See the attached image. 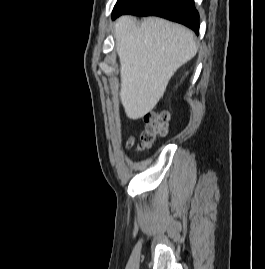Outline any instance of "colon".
<instances>
[{
  "instance_id": "obj_1",
  "label": "colon",
  "mask_w": 265,
  "mask_h": 269,
  "mask_svg": "<svg viewBox=\"0 0 265 269\" xmlns=\"http://www.w3.org/2000/svg\"><path fill=\"white\" fill-rule=\"evenodd\" d=\"M146 122V129L141 136V144L138 146L139 150L149 148L157 140L164 137L168 131L169 115L166 112L148 113L144 117ZM128 145H134V139L131 138Z\"/></svg>"
}]
</instances>
